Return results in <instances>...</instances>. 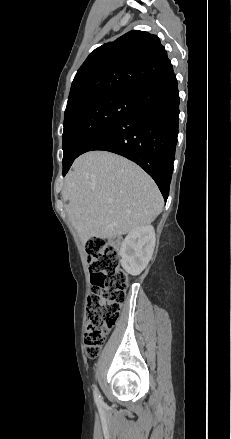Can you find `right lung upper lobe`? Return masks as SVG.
Returning a JSON list of instances; mask_svg holds the SVG:
<instances>
[{
	"mask_svg": "<svg viewBox=\"0 0 231 439\" xmlns=\"http://www.w3.org/2000/svg\"><path fill=\"white\" fill-rule=\"evenodd\" d=\"M173 70L156 35L133 30L95 49L77 71L66 110L110 93H135Z\"/></svg>",
	"mask_w": 231,
	"mask_h": 439,
	"instance_id": "right-lung-upper-lobe-1",
	"label": "right lung upper lobe"
}]
</instances>
